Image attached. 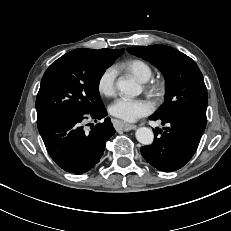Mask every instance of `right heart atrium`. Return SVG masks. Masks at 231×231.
<instances>
[{
    "mask_svg": "<svg viewBox=\"0 0 231 231\" xmlns=\"http://www.w3.org/2000/svg\"><path fill=\"white\" fill-rule=\"evenodd\" d=\"M117 71L115 67L105 68L98 77L97 89L100 94L110 97L116 92Z\"/></svg>",
    "mask_w": 231,
    "mask_h": 231,
    "instance_id": "right-heart-atrium-1",
    "label": "right heart atrium"
}]
</instances>
